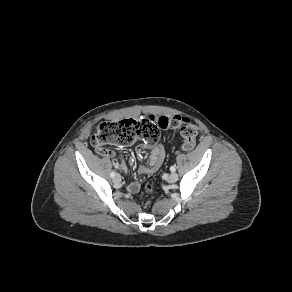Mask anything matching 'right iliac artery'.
<instances>
[{
  "label": "right iliac artery",
  "instance_id": "1",
  "mask_svg": "<svg viewBox=\"0 0 292 292\" xmlns=\"http://www.w3.org/2000/svg\"><path fill=\"white\" fill-rule=\"evenodd\" d=\"M110 175H111L112 178H114L115 177V172L112 171Z\"/></svg>",
  "mask_w": 292,
  "mask_h": 292
}]
</instances>
